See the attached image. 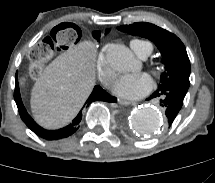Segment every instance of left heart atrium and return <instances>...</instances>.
<instances>
[{
	"mask_svg": "<svg viewBox=\"0 0 215 183\" xmlns=\"http://www.w3.org/2000/svg\"><path fill=\"white\" fill-rule=\"evenodd\" d=\"M151 88L152 82L147 74H127L117 79L113 92L122 98L138 99L146 95Z\"/></svg>",
	"mask_w": 215,
	"mask_h": 183,
	"instance_id": "39dd6f15",
	"label": "left heart atrium"
}]
</instances>
